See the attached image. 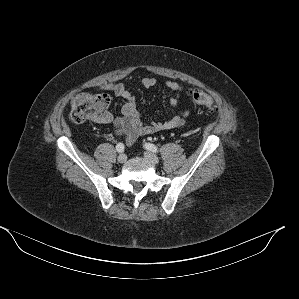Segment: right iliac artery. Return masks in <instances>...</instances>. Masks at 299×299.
<instances>
[{"instance_id": "1", "label": "right iliac artery", "mask_w": 299, "mask_h": 299, "mask_svg": "<svg viewBox=\"0 0 299 299\" xmlns=\"http://www.w3.org/2000/svg\"><path fill=\"white\" fill-rule=\"evenodd\" d=\"M124 144L123 143H118L117 145H116V150L118 151V152H123L124 151Z\"/></svg>"}]
</instances>
